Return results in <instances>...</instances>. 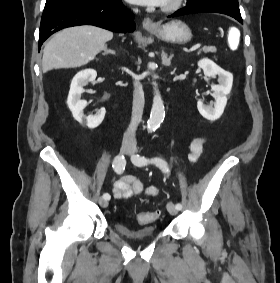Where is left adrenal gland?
Returning a JSON list of instances; mask_svg holds the SVG:
<instances>
[{
	"mask_svg": "<svg viewBox=\"0 0 280 283\" xmlns=\"http://www.w3.org/2000/svg\"><path fill=\"white\" fill-rule=\"evenodd\" d=\"M173 54H171L169 57L167 56V54L162 51V63L165 65V66H170L171 65V60L173 58Z\"/></svg>",
	"mask_w": 280,
	"mask_h": 283,
	"instance_id": "1",
	"label": "left adrenal gland"
}]
</instances>
